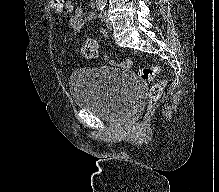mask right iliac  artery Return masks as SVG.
Returning <instances> with one entry per match:
<instances>
[{
  "label": "right iliac artery",
  "mask_w": 219,
  "mask_h": 192,
  "mask_svg": "<svg viewBox=\"0 0 219 192\" xmlns=\"http://www.w3.org/2000/svg\"><path fill=\"white\" fill-rule=\"evenodd\" d=\"M104 8H105V4H98L97 5V10L100 11V12L103 11Z\"/></svg>",
  "instance_id": "right-iliac-artery-1"
}]
</instances>
